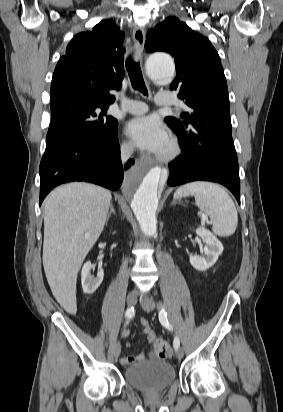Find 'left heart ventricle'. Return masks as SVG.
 Returning <instances> with one entry per match:
<instances>
[{
    "mask_svg": "<svg viewBox=\"0 0 283 412\" xmlns=\"http://www.w3.org/2000/svg\"><path fill=\"white\" fill-rule=\"evenodd\" d=\"M168 143L166 144V146L161 150V152L160 153H163V152H165V151H167V149H168Z\"/></svg>",
    "mask_w": 283,
    "mask_h": 412,
    "instance_id": "1",
    "label": "left heart ventricle"
}]
</instances>
